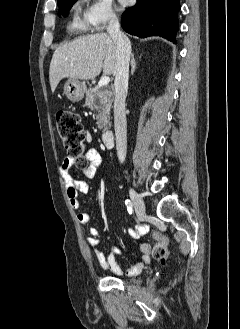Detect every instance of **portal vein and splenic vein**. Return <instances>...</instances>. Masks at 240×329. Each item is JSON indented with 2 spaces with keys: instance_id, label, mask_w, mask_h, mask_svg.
Wrapping results in <instances>:
<instances>
[{
  "instance_id": "portal-vein-and-splenic-vein-1",
  "label": "portal vein and splenic vein",
  "mask_w": 240,
  "mask_h": 329,
  "mask_svg": "<svg viewBox=\"0 0 240 329\" xmlns=\"http://www.w3.org/2000/svg\"><path fill=\"white\" fill-rule=\"evenodd\" d=\"M110 78L108 76H104L100 79V81L98 82V87H104L107 86L109 84Z\"/></svg>"
}]
</instances>
